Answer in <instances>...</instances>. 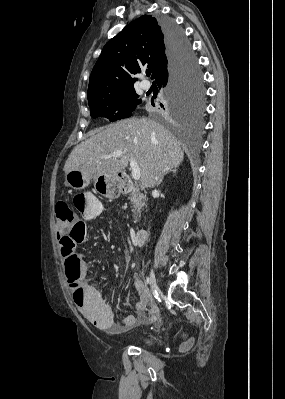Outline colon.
Here are the masks:
<instances>
[{
  "label": "colon",
  "instance_id": "5ec220e1",
  "mask_svg": "<svg viewBox=\"0 0 285 399\" xmlns=\"http://www.w3.org/2000/svg\"><path fill=\"white\" fill-rule=\"evenodd\" d=\"M87 197L88 194H76L73 197L71 204L63 202L57 205V229L60 236L62 257L67 265L70 264L76 257L75 250L77 244H79L87 236L86 232L83 230L82 224L76 220L77 217L73 210H82L87 203ZM77 279V273L71 270L67 271V281L69 286L74 290H78V300L81 302L83 300V290ZM189 346V340L183 341V349H186Z\"/></svg>",
  "mask_w": 285,
  "mask_h": 399
}]
</instances>
